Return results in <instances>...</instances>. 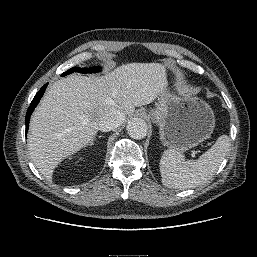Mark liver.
<instances>
[{"mask_svg":"<svg viewBox=\"0 0 257 257\" xmlns=\"http://www.w3.org/2000/svg\"><path fill=\"white\" fill-rule=\"evenodd\" d=\"M165 69L159 63H129L105 76L71 75L47 90L30 121L28 150L39 172L52 179L65 157L86 147L99 130L100 119L152 103L165 90Z\"/></svg>","mask_w":257,"mask_h":257,"instance_id":"obj_1","label":"liver"}]
</instances>
